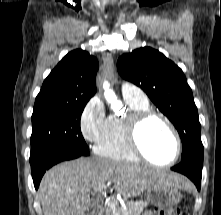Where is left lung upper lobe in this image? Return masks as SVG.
<instances>
[{
	"instance_id": "1",
	"label": "left lung upper lobe",
	"mask_w": 221,
	"mask_h": 215,
	"mask_svg": "<svg viewBox=\"0 0 221 215\" xmlns=\"http://www.w3.org/2000/svg\"><path fill=\"white\" fill-rule=\"evenodd\" d=\"M117 69L124 79L143 89L174 124L182 141L181 161L191 157L203 159L197 107L182 70L164 54L150 47L122 55Z\"/></svg>"
}]
</instances>
